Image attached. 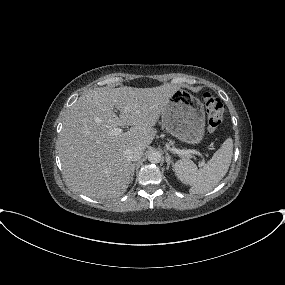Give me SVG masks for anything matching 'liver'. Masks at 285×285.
Segmentation results:
<instances>
[{"instance_id": "obj_1", "label": "liver", "mask_w": 285, "mask_h": 285, "mask_svg": "<svg viewBox=\"0 0 285 285\" xmlns=\"http://www.w3.org/2000/svg\"><path fill=\"white\" fill-rule=\"evenodd\" d=\"M178 89L172 84L123 86L97 88L81 95L69 108L59 138L62 169L70 185L96 199L123 195L132 170L126 151L131 147L144 150L152 143L157 132L154 126ZM118 126L131 127L113 135L111 131Z\"/></svg>"}]
</instances>
